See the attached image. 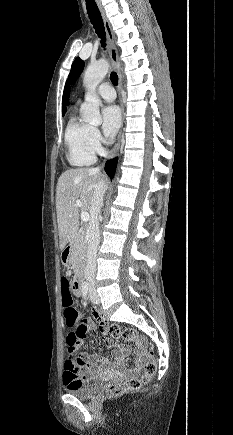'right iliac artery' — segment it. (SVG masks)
<instances>
[{
    "label": "right iliac artery",
    "instance_id": "82829eb1",
    "mask_svg": "<svg viewBox=\"0 0 233 435\" xmlns=\"http://www.w3.org/2000/svg\"><path fill=\"white\" fill-rule=\"evenodd\" d=\"M88 291H89V283L84 282L83 286H82V293H83L84 298L87 297Z\"/></svg>",
    "mask_w": 233,
    "mask_h": 435
}]
</instances>
